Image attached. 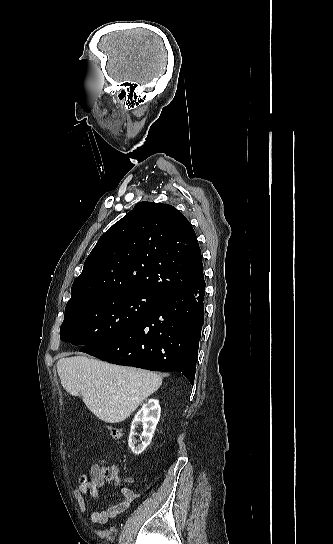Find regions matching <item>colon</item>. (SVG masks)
<instances>
[{
  "label": "colon",
  "mask_w": 333,
  "mask_h": 544,
  "mask_svg": "<svg viewBox=\"0 0 333 544\" xmlns=\"http://www.w3.org/2000/svg\"><path fill=\"white\" fill-rule=\"evenodd\" d=\"M107 429H108L110 435L113 438L119 439L120 437H122L123 431H122L121 428H119L117 426L109 425V426H107ZM113 475H114L113 468H104V469L101 470V478L103 480L112 479ZM91 480H92V478H91Z\"/></svg>",
  "instance_id": "colon-1"
}]
</instances>
